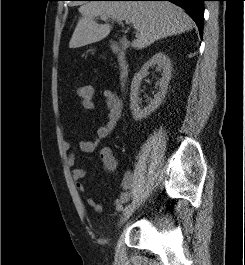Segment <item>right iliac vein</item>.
I'll return each mask as SVG.
<instances>
[{"label": "right iliac vein", "mask_w": 245, "mask_h": 265, "mask_svg": "<svg viewBox=\"0 0 245 265\" xmlns=\"http://www.w3.org/2000/svg\"><path fill=\"white\" fill-rule=\"evenodd\" d=\"M137 206H138L137 202H133L124 209L120 219V224H123L134 213Z\"/></svg>", "instance_id": "right-iliac-vein-1"}]
</instances>
